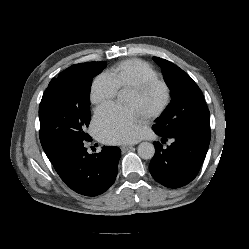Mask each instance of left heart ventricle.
Segmentation results:
<instances>
[{"instance_id":"1","label":"left heart ventricle","mask_w":249,"mask_h":249,"mask_svg":"<svg viewBox=\"0 0 249 249\" xmlns=\"http://www.w3.org/2000/svg\"><path fill=\"white\" fill-rule=\"evenodd\" d=\"M163 98L162 87L155 85L141 95L129 91L126 106L133 108L142 118H146L161 105Z\"/></svg>"}]
</instances>
